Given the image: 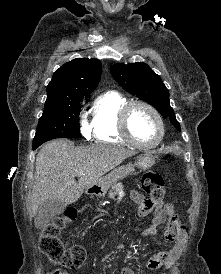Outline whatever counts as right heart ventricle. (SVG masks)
<instances>
[{
	"label": "right heart ventricle",
	"instance_id": "e07e8e85",
	"mask_svg": "<svg viewBox=\"0 0 221 274\" xmlns=\"http://www.w3.org/2000/svg\"><path fill=\"white\" fill-rule=\"evenodd\" d=\"M129 102L128 98L118 91H106L100 94L92 107L91 129L93 137L102 143L128 145L121 134L119 115Z\"/></svg>",
	"mask_w": 221,
	"mask_h": 274
}]
</instances>
